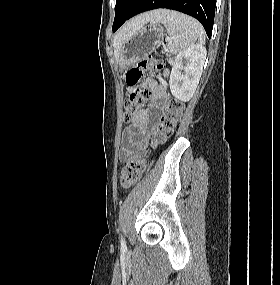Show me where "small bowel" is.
<instances>
[{"mask_svg":"<svg viewBox=\"0 0 280 285\" xmlns=\"http://www.w3.org/2000/svg\"><path fill=\"white\" fill-rule=\"evenodd\" d=\"M145 86H149L152 92L153 107L157 111H163L167 102V92L164 83L148 79ZM132 88L128 89L130 94ZM149 111L142 109L131 119L130 127L125 131L122 146L120 150V159L122 161L128 160L135 149L141 146L145 139L144 136L148 131Z\"/></svg>","mask_w":280,"mask_h":285,"instance_id":"obj_1","label":"small bowel"}]
</instances>
